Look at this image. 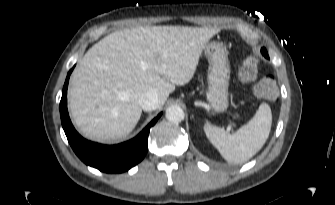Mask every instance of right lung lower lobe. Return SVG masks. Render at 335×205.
<instances>
[{"mask_svg": "<svg viewBox=\"0 0 335 205\" xmlns=\"http://www.w3.org/2000/svg\"><path fill=\"white\" fill-rule=\"evenodd\" d=\"M73 68L67 74L60 101L61 123L69 144L85 164L102 172L120 173L130 169L146 155L150 128L157 122L162 113L158 114L138 136L118 145L107 146L82 138L74 129L67 110V87Z\"/></svg>", "mask_w": 335, "mask_h": 205, "instance_id": "right-lung-lower-lobe-1", "label": "right lung lower lobe"}]
</instances>
